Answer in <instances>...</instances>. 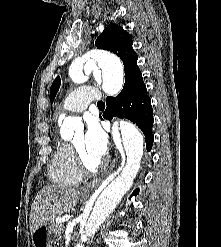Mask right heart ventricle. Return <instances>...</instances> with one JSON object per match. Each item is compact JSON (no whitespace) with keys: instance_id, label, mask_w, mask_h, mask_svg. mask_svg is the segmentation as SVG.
Segmentation results:
<instances>
[{"instance_id":"right-heart-ventricle-1","label":"right heart ventricle","mask_w":221,"mask_h":247,"mask_svg":"<svg viewBox=\"0 0 221 247\" xmlns=\"http://www.w3.org/2000/svg\"><path fill=\"white\" fill-rule=\"evenodd\" d=\"M48 176L52 183L59 186H74L81 182L82 172L69 143L56 140Z\"/></svg>"}]
</instances>
